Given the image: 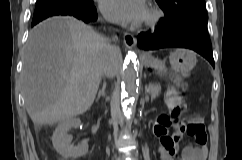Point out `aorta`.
I'll list each match as a JSON object with an SVG mask.
<instances>
[{"label": "aorta", "instance_id": "762f6f07", "mask_svg": "<svg viewBox=\"0 0 242 160\" xmlns=\"http://www.w3.org/2000/svg\"><path fill=\"white\" fill-rule=\"evenodd\" d=\"M122 84L126 93V101L133 100L138 93L139 75L138 65L133 55H128L125 60L122 72Z\"/></svg>", "mask_w": 242, "mask_h": 160}]
</instances>
